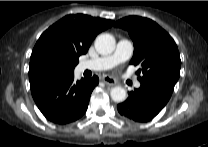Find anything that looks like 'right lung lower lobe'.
<instances>
[{"instance_id": "98d812e1", "label": "right lung lower lobe", "mask_w": 208, "mask_h": 147, "mask_svg": "<svg viewBox=\"0 0 208 147\" xmlns=\"http://www.w3.org/2000/svg\"><path fill=\"white\" fill-rule=\"evenodd\" d=\"M98 83L97 76L74 81L72 74L32 86L31 93L39 110L48 120L66 124L84 115L90 95Z\"/></svg>"}]
</instances>
